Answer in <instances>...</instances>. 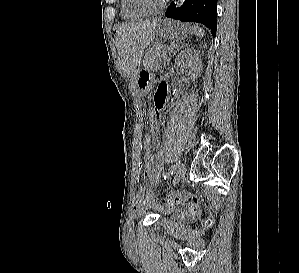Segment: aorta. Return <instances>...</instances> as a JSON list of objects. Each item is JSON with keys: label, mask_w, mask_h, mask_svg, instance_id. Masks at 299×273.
<instances>
[{"label": "aorta", "mask_w": 299, "mask_h": 273, "mask_svg": "<svg viewBox=\"0 0 299 273\" xmlns=\"http://www.w3.org/2000/svg\"><path fill=\"white\" fill-rule=\"evenodd\" d=\"M185 0H178V5H182Z\"/></svg>", "instance_id": "aorta-1"}]
</instances>
